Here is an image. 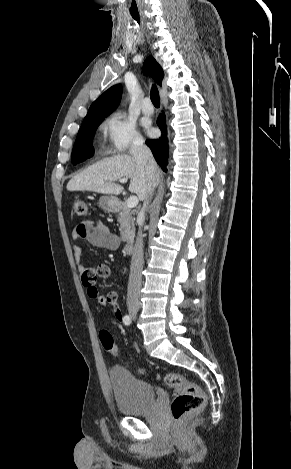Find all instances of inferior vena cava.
I'll return each instance as SVG.
<instances>
[{"mask_svg": "<svg viewBox=\"0 0 291 469\" xmlns=\"http://www.w3.org/2000/svg\"><path fill=\"white\" fill-rule=\"evenodd\" d=\"M130 153L133 157L142 163L147 171L148 176H151L156 168V162L153 158V155L150 149L145 145L143 138L137 137L134 139L133 144L130 149ZM154 189H152L143 202V207L141 214L144 215L146 208L149 205V202L152 199ZM143 223L139 227L138 236L134 246L131 266H130V275L128 283V293H127V305L129 307L139 306L140 305V293H141V282H142V270H143V233H142Z\"/></svg>", "mask_w": 291, "mask_h": 469, "instance_id": "602c4592", "label": "inferior vena cava"}]
</instances>
